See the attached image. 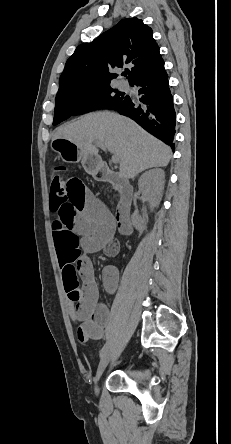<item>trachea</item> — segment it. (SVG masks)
<instances>
[{
	"mask_svg": "<svg viewBox=\"0 0 231 444\" xmlns=\"http://www.w3.org/2000/svg\"><path fill=\"white\" fill-rule=\"evenodd\" d=\"M128 74V72L124 73V75L126 76Z\"/></svg>",
	"mask_w": 231,
	"mask_h": 444,
	"instance_id": "trachea-1",
	"label": "trachea"
}]
</instances>
